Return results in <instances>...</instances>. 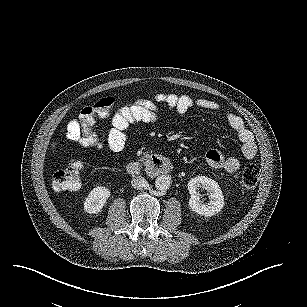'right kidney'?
Instances as JSON below:
<instances>
[{
  "mask_svg": "<svg viewBox=\"0 0 307 307\" xmlns=\"http://www.w3.org/2000/svg\"><path fill=\"white\" fill-rule=\"evenodd\" d=\"M110 194L111 192L108 188L101 186L93 188L85 198L84 211L89 214L101 212Z\"/></svg>",
  "mask_w": 307,
  "mask_h": 307,
  "instance_id": "1",
  "label": "right kidney"
}]
</instances>
